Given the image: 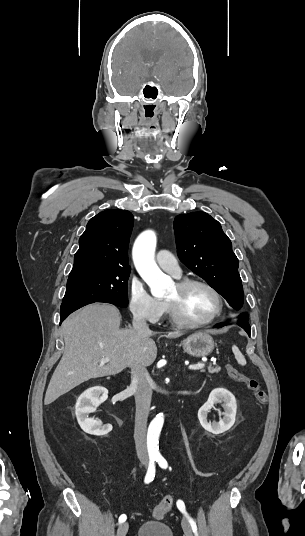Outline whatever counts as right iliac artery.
I'll return each instance as SVG.
<instances>
[{
    "label": "right iliac artery",
    "instance_id": "1",
    "mask_svg": "<svg viewBox=\"0 0 305 536\" xmlns=\"http://www.w3.org/2000/svg\"><path fill=\"white\" fill-rule=\"evenodd\" d=\"M155 460H156V458H150L148 471H147V474L145 476V483H147V484L150 483L151 481H153V479L155 477V465H154ZM126 519H127L126 515L122 514L119 517V523L124 522Z\"/></svg>",
    "mask_w": 305,
    "mask_h": 536
}]
</instances>
